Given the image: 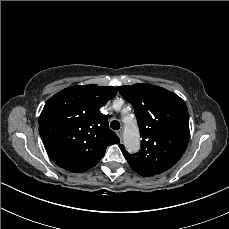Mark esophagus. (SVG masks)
<instances>
[{
  "label": "esophagus",
  "mask_w": 229,
  "mask_h": 229,
  "mask_svg": "<svg viewBox=\"0 0 229 229\" xmlns=\"http://www.w3.org/2000/svg\"><path fill=\"white\" fill-rule=\"evenodd\" d=\"M116 134L118 135V137H119L120 139H122V137H123V131H122L121 129L117 130V131H116Z\"/></svg>",
  "instance_id": "obj_1"
}]
</instances>
